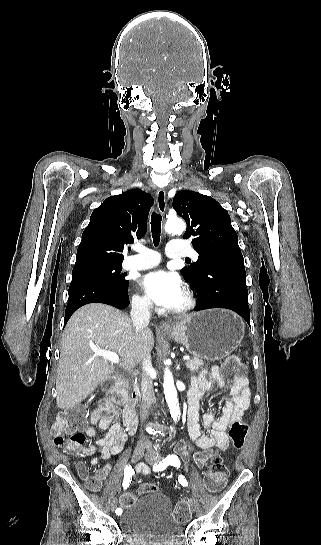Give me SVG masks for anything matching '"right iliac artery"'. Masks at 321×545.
<instances>
[{"label":"right iliac artery","instance_id":"obj_1","mask_svg":"<svg viewBox=\"0 0 321 545\" xmlns=\"http://www.w3.org/2000/svg\"><path fill=\"white\" fill-rule=\"evenodd\" d=\"M133 474H134L133 468L130 465H127L124 470V480H123L124 489H126L130 485L131 477ZM115 512L117 515H119L121 514L122 511L121 509L117 508Z\"/></svg>","mask_w":321,"mask_h":545}]
</instances>
